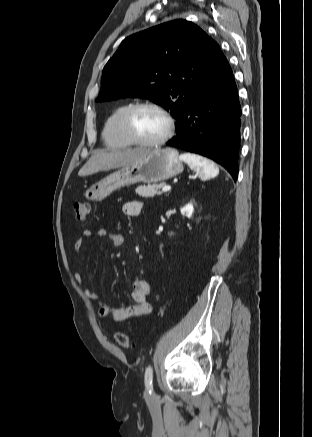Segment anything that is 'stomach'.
<instances>
[{"label": "stomach", "mask_w": 312, "mask_h": 437, "mask_svg": "<svg viewBox=\"0 0 312 437\" xmlns=\"http://www.w3.org/2000/svg\"><path fill=\"white\" fill-rule=\"evenodd\" d=\"M183 171L182 160L174 148L153 149L138 160L122 166L84 193L86 199L101 201L112 192L138 182L156 183L172 178Z\"/></svg>", "instance_id": "1"}]
</instances>
